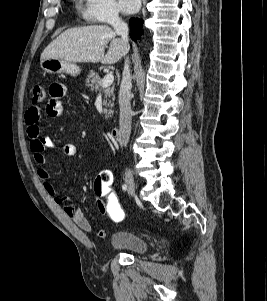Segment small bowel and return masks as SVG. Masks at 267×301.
Masks as SVG:
<instances>
[{"label":"small bowel","mask_w":267,"mask_h":301,"mask_svg":"<svg viewBox=\"0 0 267 301\" xmlns=\"http://www.w3.org/2000/svg\"><path fill=\"white\" fill-rule=\"evenodd\" d=\"M50 99L46 106V113L48 116L56 118L63 113V100L67 97V88L61 82L51 84L49 89ZM42 109L38 104H33L29 107L25 114L26 132L30 140V148L33 153V160L37 165L36 173L42 182L46 192L54 199L58 205H62L64 213L72 218L73 222L85 233L92 232V226L88 218L81 209H77L71 204V198L67 196H60L55 186L50 180L48 172L43 167L45 164L44 152L46 149L55 148L54 142L41 134L39 128V120L41 118ZM62 151L65 156L73 157L76 155V146L72 143H66ZM97 207L101 214H105L102 205L96 200ZM96 235L99 238H105L107 232L105 230H98Z\"/></svg>","instance_id":"obj_1"}]
</instances>
